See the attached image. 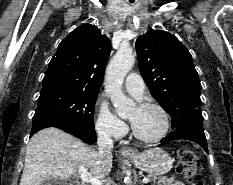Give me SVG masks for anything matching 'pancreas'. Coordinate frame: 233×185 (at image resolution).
I'll return each instance as SVG.
<instances>
[{"label": "pancreas", "instance_id": "cf45deb5", "mask_svg": "<svg viewBox=\"0 0 233 185\" xmlns=\"http://www.w3.org/2000/svg\"><path fill=\"white\" fill-rule=\"evenodd\" d=\"M147 177L153 180L154 185H174L175 182L174 176L168 178L166 176L148 175Z\"/></svg>", "mask_w": 233, "mask_h": 185}]
</instances>
